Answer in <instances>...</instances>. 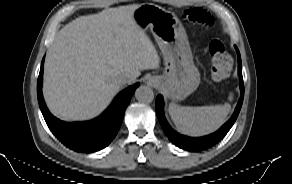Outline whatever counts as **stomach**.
I'll list each match as a JSON object with an SVG mask.
<instances>
[{"mask_svg":"<svg viewBox=\"0 0 292 184\" xmlns=\"http://www.w3.org/2000/svg\"><path fill=\"white\" fill-rule=\"evenodd\" d=\"M133 18L142 30L150 28L156 41L164 48L173 39L174 32L181 28L174 19L167 24L161 23L159 10L149 5L138 8ZM199 80V72L188 55L178 52L169 55L166 73L161 81V86L166 90L169 98L173 100L185 98L197 87Z\"/></svg>","mask_w":292,"mask_h":184,"instance_id":"stomach-1","label":"stomach"}]
</instances>
